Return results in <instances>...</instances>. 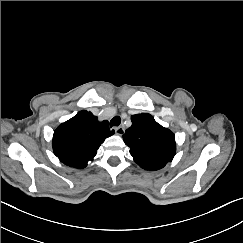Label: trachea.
<instances>
[{"label": "trachea", "instance_id": "trachea-1", "mask_svg": "<svg viewBox=\"0 0 243 243\" xmlns=\"http://www.w3.org/2000/svg\"><path fill=\"white\" fill-rule=\"evenodd\" d=\"M120 123H121L120 117L119 116H115L110 121V127H112V126H119Z\"/></svg>", "mask_w": 243, "mask_h": 243}]
</instances>
